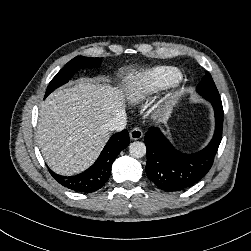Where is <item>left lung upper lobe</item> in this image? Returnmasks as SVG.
Segmentation results:
<instances>
[{"label": "left lung upper lobe", "instance_id": "left-lung-upper-lobe-1", "mask_svg": "<svg viewBox=\"0 0 251 251\" xmlns=\"http://www.w3.org/2000/svg\"><path fill=\"white\" fill-rule=\"evenodd\" d=\"M197 92L206 100H219L220 95L209 72H206L196 88Z\"/></svg>", "mask_w": 251, "mask_h": 251}]
</instances>
